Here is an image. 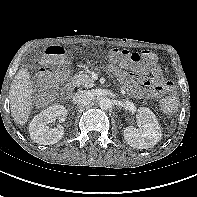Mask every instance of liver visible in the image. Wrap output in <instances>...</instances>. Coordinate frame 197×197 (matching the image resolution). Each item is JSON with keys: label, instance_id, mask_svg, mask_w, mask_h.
<instances>
[{"label": "liver", "instance_id": "liver-1", "mask_svg": "<svg viewBox=\"0 0 197 197\" xmlns=\"http://www.w3.org/2000/svg\"><path fill=\"white\" fill-rule=\"evenodd\" d=\"M33 83L27 68L18 71L10 86V107L14 121L24 125L32 107Z\"/></svg>", "mask_w": 197, "mask_h": 197}]
</instances>
